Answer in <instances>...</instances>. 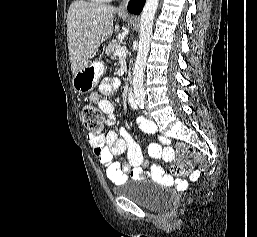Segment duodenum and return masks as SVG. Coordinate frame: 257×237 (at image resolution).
<instances>
[{
    "label": "duodenum",
    "mask_w": 257,
    "mask_h": 237,
    "mask_svg": "<svg viewBox=\"0 0 257 237\" xmlns=\"http://www.w3.org/2000/svg\"><path fill=\"white\" fill-rule=\"evenodd\" d=\"M127 96H128V101H129L130 105H131L132 107H135V106H136V101H135L134 91H133L132 88H130V89L128 90Z\"/></svg>",
    "instance_id": "obj_1"
}]
</instances>
